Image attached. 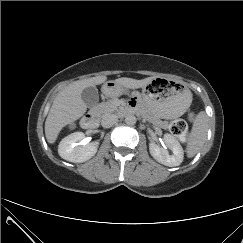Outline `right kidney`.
<instances>
[{
  "mask_svg": "<svg viewBox=\"0 0 243 243\" xmlns=\"http://www.w3.org/2000/svg\"><path fill=\"white\" fill-rule=\"evenodd\" d=\"M98 145L97 141L89 143L84 133L74 132L61 140L58 153L66 161L82 163L96 154Z\"/></svg>",
  "mask_w": 243,
  "mask_h": 243,
  "instance_id": "1",
  "label": "right kidney"
}]
</instances>
